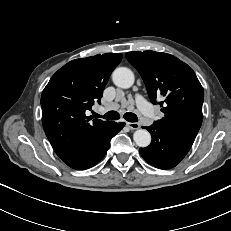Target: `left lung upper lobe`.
<instances>
[{
    "instance_id": "left-lung-upper-lobe-1",
    "label": "left lung upper lobe",
    "mask_w": 231,
    "mask_h": 231,
    "mask_svg": "<svg viewBox=\"0 0 231 231\" xmlns=\"http://www.w3.org/2000/svg\"><path fill=\"white\" fill-rule=\"evenodd\" d=\"M139 71L152 103L157 99L164 116L154 123L193 144L202 124L203 88L194 71L178 58L161 52L126 54Z\"/></svg>"
}]
</instances>
